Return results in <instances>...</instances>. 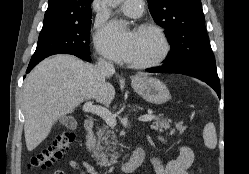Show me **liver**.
Segmentation results:
<instances>
[{
  "label": "liver",
  "mask_w": 249,
  "mask_h": 174,
  "mask_svg": "<svg viewBox=\"0 0 249 174\" xmlns=\"http://www.w3.org/2000/svg\"><path fill=\"white\" fill-rule=\"evenodd\" d=\"M114 96V87L105 82L95 65L66 54L43 60L27 75L23 88L28 151L45 140L54 123L80 103L95 99L108 105Z\"/></svg>",
  "instance_id": "liver-1"
}]
</instances>
